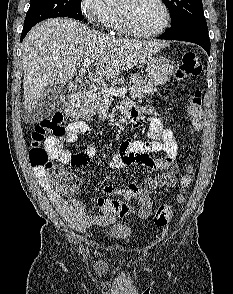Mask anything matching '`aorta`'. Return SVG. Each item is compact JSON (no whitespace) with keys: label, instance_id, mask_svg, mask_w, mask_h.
Wrapping results in <instances>:
<instances>
[{"label":"aorta","instance_id":"1","mask_svg":"<svg viewBox=\"0 0 233 294\" xmlns=\"http://www.w3.org/2000/svg\"><path fill=\"white\" fill-rule=\"evenodd\" d=\"M120 0H104L107 5L117 4Z\"/></svg>","mask_w":233,"mask_h":294}]
</instances>
